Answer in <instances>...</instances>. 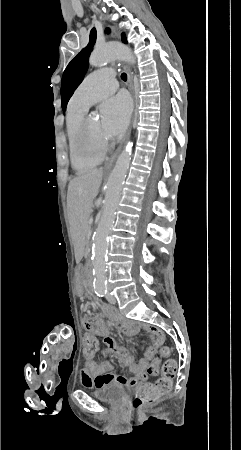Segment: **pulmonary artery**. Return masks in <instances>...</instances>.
I'll return each instance as SVG.
<instances>
[{
    "label": "pulmonary artery",
    "instance_id": "obj_1",
    "mask_svg": "<svg viewBox=\"0 0 241 450\" xmlns=\"http://www.w3.org/2000/svg\"><path fill=\"white\" fill-rule=\"evenodd\" d=\"M115 71L107 66L106 69L94 71L88 75L82 86L79 87L72 98L74 102H80L86 106L97 104L114 94L118 80L114 78Z\"/></svg>",
    "mask_w": 241,
    "mask_h": 450
}]
</instances>
